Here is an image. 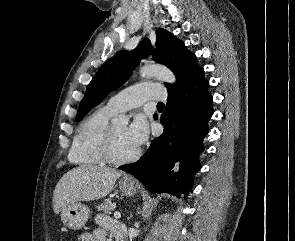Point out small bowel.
Instances as JSON below:
<instances>
[{
	"instance_id": "small-bowel-1",
	"label": "small bowel",
	"mask_w": 295,
	"mask_h": 241,
	"mask_svg": "<svg viewBox=\"0 0 295 241\" xmlns=\"http://www.w3.org/2000/svg\"><path fill=\"white\" fill-rule=\"evenodd\" d=\"M97 228L92 233H85L82 241H106L110 233L118 239L123 234V225L106 214H98L95 218Z\"/></svg>"
}]
</instances>
